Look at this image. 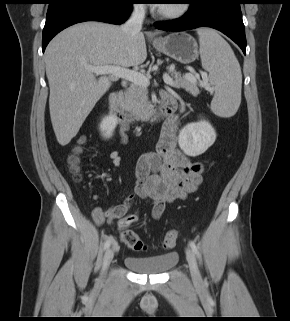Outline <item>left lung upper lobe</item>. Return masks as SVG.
I'll list each match as a JSON object with an SVG mask.
<instances>
[{"mask_svg":"<svg viewBox=\"0 0 290 321\" xmlns=\"http://www.w3.org/2000/svg\"><path fill=\"white\" fill-rule=\"evenodd\" d=\"M188 2H192V1H195V0H187Z\"/></svg>","mask_w":290,"mask_h":321,"instance_id":"1","label":"left lung upper lobe"}]
</instances>
